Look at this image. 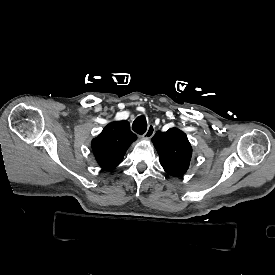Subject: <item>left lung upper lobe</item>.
Instances as JSON below:
<instances>
[{"instance_id":"5c2ea615","label":"left lung upper lobe","mask_w":275,"mask_h":275,"mask_svg":"<svg viewBox=\"0 0 275 275\" xmlns=\"http://www.w3.org/2000/svg\"><path fill=\"white\" fill-rule=\"evenodd\" d=\"M152 142L166 173L179 177L187 172L192 157V147L183 131L174 127L165 132H157Z\"/></svg>"}]
</instances>
